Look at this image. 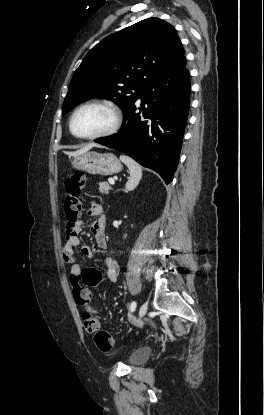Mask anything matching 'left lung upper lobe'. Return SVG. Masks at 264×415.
Returning <instances> with one entry per match:
<instances>
[{
	"instance_id": "5c2ea615",
	"label": "left lung upper lobe",
	"mask_w": 264,
	"mask_h": 415,
	"mask_svg": "<svg viewBox=\"0 0 264 415\" xmlns=\"http://www.w3.org/2000/svg\"><path fill=\"white\" fill-rule=\"evenodd\" d=\"M184 54L175 28L159 18L114 33L92 48L75 71L62 114L95 97L116 102L124 112L147 84Z\"/></svg>"
}]
</instances>
